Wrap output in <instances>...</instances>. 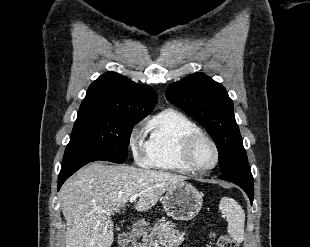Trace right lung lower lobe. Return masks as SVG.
I'll list each match as a JSON object with an SVG mask.
<instances>
[{
    "mask_svg": "<svg viewBox=\"0 0 310 247\" xmlns=\"http://www.w3.org/2000/svg\"><path fill=\"white\" fill-rule=\"evenodd\" d=\"M97 161L96 159H84V160H78L74 162H70L68 164L62 165L59 177H58V190L60 189L61 185L65 182L66 179H68L73 173H75L78 169L83 167L84 165Z\"/></svg>",
    "mask_w": 310,
    "mask_h": 247,
    "instance_id": "right-lung-lower-lobe-1",
    "label": "right lung lower lobe"
}]
</instances>
